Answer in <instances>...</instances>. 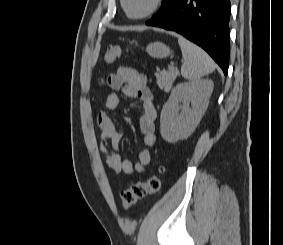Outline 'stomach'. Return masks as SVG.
Wrapping results in <instances>:
<instances>
[{
	"label": "stomach",
	"instance_id": "1",
	"mask_svg": "<svg viewBox=\"0 0 283 245\" xmlns=\"http://www.w3.org/2000/svg\"><path fill=\"white\" fill-rule=\"evenodd\" d=\"M146 51L154 58H166L171 55L170 48L162 42L150 43L147 46Z\"/></svg>",
	"mask_w": 283,
	"mask_h": 245
}]
</instances>
